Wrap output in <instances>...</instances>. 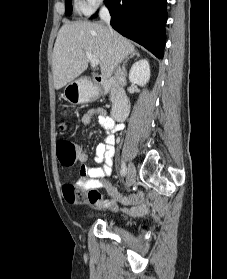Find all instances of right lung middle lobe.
<instances>
[{
  "mask_svg": "<svg viewBox=\"0 0 227 279\" xmlns=\"http://www.w3.org/2000/svg\"><path fill=\"white\" fill-rule=\"evenodd\" d=\"M72 14L71 0H65V15L70 16Z\"/></svg>",
  "mask_w": 227,
  "mask_h": 279,
  "instance_id": "obj_1",
  "label": "right lung middle lobe"
}]
</instances>
